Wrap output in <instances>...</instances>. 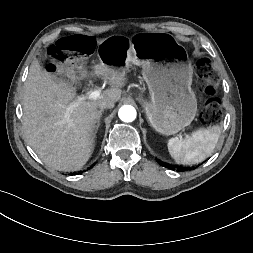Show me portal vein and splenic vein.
Wrapping results in <instances>:
<instances>
[{
  "instance_id": "1",
  "label": "portal vein and splenic vein",
  "mask_w": 253,
  "mask_h": 253,
  "mask_svg": "<svg viewBox=\"0 0 253 253\" xmlns=\"http://www.w3.org/2000/svg\"><path fill=\"white\" fill-rule=\"evenodd\" d=\"M87 98L90 100H96V99L100 98V90L89 91L87 93Z\"/></svg>"
}]
</instances>
